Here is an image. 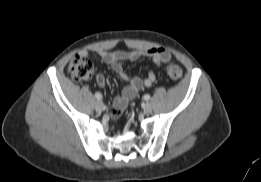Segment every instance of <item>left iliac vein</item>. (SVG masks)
I'll use <instances>...</instances> for the list:
<instances>
[{
	"instance_id": "4c4485c4",
	"label": "left iliac vein",
	"mask_w": 261,
	"mask_h": 182,
	"mask_svg": "<svg viewBox=\"0 0 261 182\" xmlns=\"http://www.w3.org/2000/svg\"><path fill=\"white\" fill-rule=\"evenodd\" d=\"M143 111H144L145 114H150V113H152V106H151V104L146 103V104L144 105V107H143Z\"/></svg>"
}]
</instances>
